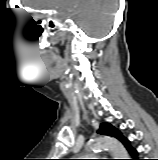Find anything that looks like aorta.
<instances>
[{"label": "aorta", "instance_id": "aorta-1", "mask_svg": "<svg viewBox=\"0 0 158 160\" xmlns=\"http://www.w3.org/2000/svg\"><path fill=\"white\" fill-rule=\"evenodd\" d=\"M90 150L107 148L114 159H128L125 147L116 139L110 137H99L94 139L88 146Z\"/></svg>", "mask_w": 158, "mask_h": 160}]
</instances>
